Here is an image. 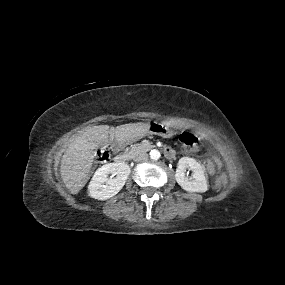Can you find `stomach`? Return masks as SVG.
Returning <instances> with one entry per match:
<instances>
[{
	"label": "stomach",
	"instance_id": "1",
	"mask_svg": "<svg viewBox=\"0 0 285 285\" xmlns=\"http://www.w3.org/2000/svg\"><path fill=\"white\" fill-rule=\"evenodd\" d=\"M147 134H158L160 136L166 137L171 134V130L169 129V127L164 126L163 124L153 123L149 124V129L145 135Z\"/></svg>",
	"mask_w": 285,
	"mask_h": 285
}]
</instances>
